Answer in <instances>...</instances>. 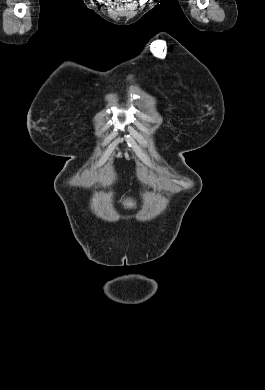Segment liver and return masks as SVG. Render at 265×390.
Instances as JSON below:
<instances>
[{
	"mask_svg": "<svg viewBox=\"0 0 265 390\" xmlns=\"http://www.w3.org/2000/svg\"><path fill=\"white\" fill-rule=\"evenodd\" d=\"M124 206L130 208V207H133L134 206V203L131 201V200H126L124 202Z\"/></svg>",
	"mask_w": 265,
	"mask_h": 390,
	"instance_id": "6515ba94",
	"label": "liver"
}]
</instances>
